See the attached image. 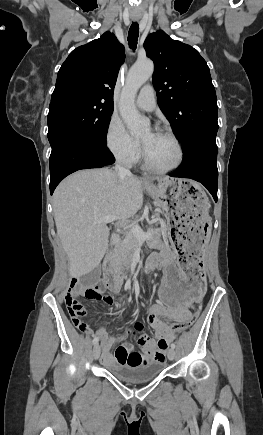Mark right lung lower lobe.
I'll use <instances>...</instances> for the list:
<instances>
[{
	"label": "right lung lower lobe",
	"mask_w": 263,
	"mask_h": 435,
	"mask_svg": "<svg viewBox=\"0 0 263 435\" xmlns=\"http://www.w3.org/2000/svg\"><path fill=\"white\" fill-rule=\"evenodd\" d=\"M115 161L106 145L79 138L64 137L58 140L50 155V192L67 175L88 168H101Z\"/></svg>",
	"instance_id": "98d812e1"
}]
</instances>
